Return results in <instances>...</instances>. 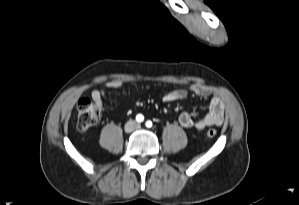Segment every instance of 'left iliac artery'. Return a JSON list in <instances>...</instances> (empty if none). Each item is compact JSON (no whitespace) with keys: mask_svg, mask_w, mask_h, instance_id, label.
Segmentation results:
<instances>
[{"mask_svg":"<svg viewBox=\"0 0 299 205\" xmlns=\"http://www.w3.org/2000/svg\"><path fill=\"white\" fill-rule=\"evenodd\" d=\"M146 126H147L148 128L152 127V122H151V121H147V122H146Z\"/></svg>","mask_w":299,"mask_h":205,"instance_id":"left-iliac-artery-1","label":"left iliac artery"}]
</instances>
